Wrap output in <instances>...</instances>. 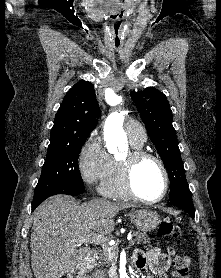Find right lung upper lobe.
Listing matches in <instances>:
<instances>
[{
  "instance_id": "obj_1",
  "label": "right lung upper lobe",
  "mask_w": 221,
  "mask_h": 278,
  "mask_svg": "<svg viewBox=\"0 0 221 278\" xmlns=\"http://www.w3.org/2000/svg\"><path fill=\"white\" fill-rule=\"evenodd\" d=\"M99 116L93 85L88 81L78 82L67 92L56 113L49 146L87 138L96 127Z\"/></svg>"
}]
</instances>
